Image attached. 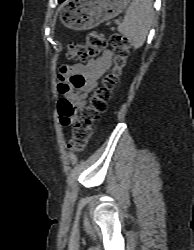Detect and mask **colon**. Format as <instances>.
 Segmentation results:
<instances>
[{
	"instance_id": "colon-1",
	"label": "colon",
	"mask_w": 194,
	"mask_h": 250,
	"mask_svg": "<svg viewBox=\"0 0 194 250\" xmlns=\"http://www.w3.org/2000/svg\"><path fill=\"white\" fill-rule=\"evenodd\" d=\"M108 44L112 46L113 67L104 76L101 84L93 91L89 104L81 109L69 142V148L73 151L84 149L93 133L94 123L107 110L112 91L126 64L130 42L127 37L121 34L106 37L102 33L92 31L87 34L84 42H73L68 46V57L85 62L104 50ZM68 111H71V109L69 108Z\"/></svg>"
}]
</instances>
